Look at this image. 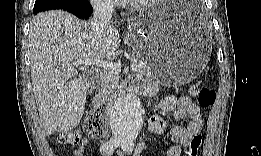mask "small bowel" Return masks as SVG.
<instances>
[{"mask_svg":"<svg viewBox=\"0 0 261 156\" xmlns=\"http://www.w3.org/2000/svg\"><path fill=\"white\" fill-rule=\"evenodd\" d=\"M129 81L134 85V87L145 94H150L155 91L154 86L146 81L139 80L138 78H132ZM158 107L163 112H173V116L176 120H183L187 117L190 118L188 124L177 125L170 130L172 144L167 149L166 155L180 156L182 151H185L192 137L202 131L204 118L201 108L195 104L189 96L177 97L175 95H168L161 99L158 103ZM165 129L166 123L163 118L159 115L151 116L149 120V130L152 134H162ZM88 145L89 138L84 137L81 144L74 150V155L83 156ZM147 147L148 143L146 141H140L134 149V155H144Z\"/></svg>","mask_w":261,"mask_h":156,"instance_id":"obj_1","label":"small bowel"}]
</instances>
